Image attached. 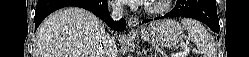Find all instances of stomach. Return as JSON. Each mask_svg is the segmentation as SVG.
Listing matches in <instances>:
<instances>
[{
  "label": "stomach",
  "instance_id": "obj_1",
  "mask_svg": "<svg viewBox=\"0 0 249 57\" xmlns=\"http://www.w3.org/2000/svg\"><path fill=\"white\" fill-rule=\"evenodd\" d=\"M183 30V27L175 19H163L152 22L139 34L142 40L150 44L172 47L181 41Z\"/></svg>",
  "mask_w": 249,
  "mask_h": 57
}]
</instances>
